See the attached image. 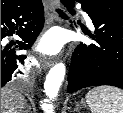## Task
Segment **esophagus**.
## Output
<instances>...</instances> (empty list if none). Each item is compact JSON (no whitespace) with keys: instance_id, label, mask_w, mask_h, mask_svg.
Returning <instances> with one entry per match:
<instances>
[{"instance_id":"obj_1","label":"esophagus","mask_w":123,"mask_h":113,"mask_svg":"<svg viewBox=\"0 0 123 113\" xmlns=\"http://www.w3.org/2000/svg\"><path fill=\"white\" fill-rule=\"evenodd\" d=\"M59 3H60L59 0H45L44 1V6H45L46 10L49 13H51L53 7L54 6H56V7L59 6ZM53 64H54V60L53 59H50V58L46 59V58H44L42 60V67L44 69L50 68L51 66H53Z\"/></svg>"}]
</instances>
